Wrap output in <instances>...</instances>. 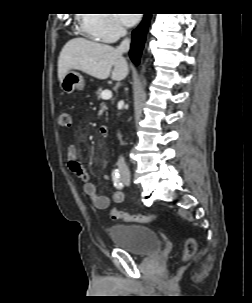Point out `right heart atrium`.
Masks as SVG:
<instances>
[{"label": "right heart atrium", "instance_id": "1", "mask_svg": "<svg viewBox=\"0 0 252 303\" xmlns=\"http://www.w3.org/2000/svg\"><path fill=\"white\" fill-rule=\"evenodd\" d=\"M85 31L105 43H114L125 34V28L114 14H83Z\"/></svg>", "mask_w": 252, "mask_h": 303}]
</instances>
